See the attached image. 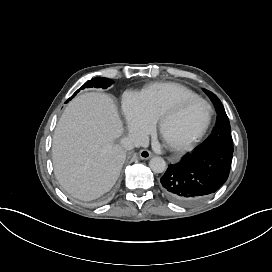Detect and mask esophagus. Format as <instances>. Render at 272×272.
Wrapping results in <instances>:
<instances>
[{"label": "esophagus", "mask_w": 272, "mask_h": 272, "mask_svg": "<svg viewBox=\"0 0 272 272\" xmlns=\"http://www.w3.org/2000/svg\"><path fill=\"white\" fill-rule=\"evenodd\" d=\"M152 156H153L152 152L149 151V150H146V149H142V150H140V152H139V157H140L141 159H144V160L150 159Z\"/></svg>", "instance_id": "obj_1"}]
</instances>
